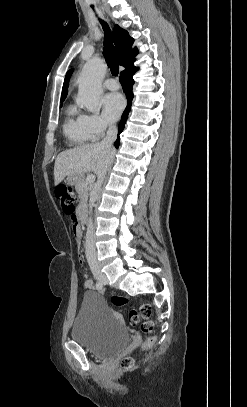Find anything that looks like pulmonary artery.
<instances>
[{"mask_svg":"<svg viewBox=\"0 0 247 407\" xmlns=\"http://www.w3.org/2000/svg\"><path fill=\"white\" fill-rule=\"evenodd\" d=\"M103 86L109 90H117L119 88V84L114 79H106L103 83Z\"/></svg>","mask_w":247,"mask_h":407,"instance_id":"obj_1","label":"pulmonary artery"}]
</instances>
